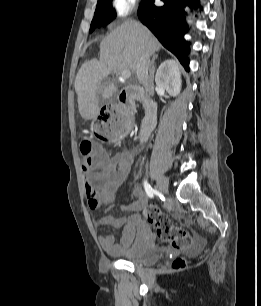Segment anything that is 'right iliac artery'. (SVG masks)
<instances>
[{"mask_svg":"<svg viewBox=\"0 0 261 306\" xmlns=\"http://www.w3.org/2000/svg\"><path fill=\"white\" fill-rule=\"evenodd\" d=\"M144 188H145L147 195L150 198H153L156 191L148 184L147 181H144Z\"/></svg>","mask_w":261,"mask_h":306,"instance_id":"82829eb1","label":"right iliac artery"}]
</instances>
